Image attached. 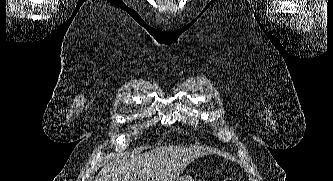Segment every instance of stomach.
Instances as JSON below:
<instances>
[{"label":"stomach","mask_w":333,"mask_h":181,"mask_svg":"<svg viewBox=\"0 0 333 181\" xmlns=\"http://www.w3.org/2000/svg\"><path fill=\"white\" fill-rule=\"evenodd\" d=\"M176 181H195L190 175H182L176 179Z\"/></svg>","instance_id":"0dacf381"}]
</instances>
